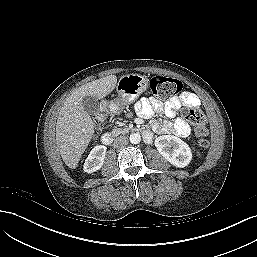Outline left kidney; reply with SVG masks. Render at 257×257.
Returning a JSON list of instances; mask_svg holds the SVG:
<instances>
[{
  "mask_svg": "<svg viewBox=\"0 0 257 257\" xmlns=\"http://www.w3.org/2000/svg\"><path fill=\"white\" fill-rule=\"evenodd\" d=\"M155 146L159 153L175 167L184 168L192 160L190 147L176 136H159L155 139Z\"/></svg>",
  "mask_w": 257,
  "mask_h": 257,
  "instance_id": "1",
  "label": "left kidney"
}]
</instances>
